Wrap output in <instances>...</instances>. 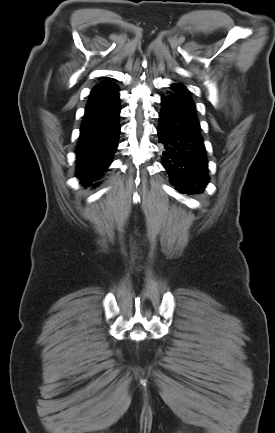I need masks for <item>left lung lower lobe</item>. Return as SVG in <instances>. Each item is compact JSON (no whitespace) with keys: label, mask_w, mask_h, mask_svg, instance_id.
<instances>
[{"label":"left lung lower lobe","mask_w":275,"mask_h":433,"mask_svg":"<svg viewBox=\"0 0 275 433\" xmlns=\"http://www.w3.org/2000/svg\"><path fill=\"white\" fill-rule=\"evenodd\" d=\"M171 90L162 96L157 129L162 144V164L179 192L201 193L209 182V176L196 107L185 86L173 84Z\"/></svg>","instance_id":"obj_1"}]
</instances>
